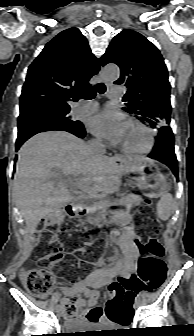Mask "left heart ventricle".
Listing matches in <instances>:
<instances>
[{"instance_id":"obj_1","label":"left heart ventricle","mask_w":194,"mask_h":336,"mask_svg":"<svg viewBox=\"0 0 194 336\" xmlns=\"http://www.w3.org/2000/svg\"><path fill=\"white\" fill-rule=\"evenodd\" d=\"M148 138L145 132L139 128L127 124L120 144L131 149H140L147 144Z\"/></svg>"}]
</instances>
